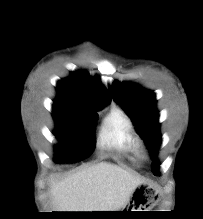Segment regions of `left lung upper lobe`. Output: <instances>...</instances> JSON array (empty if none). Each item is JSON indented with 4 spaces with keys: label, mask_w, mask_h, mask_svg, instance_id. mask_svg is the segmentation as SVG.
Listing matches in <instances>:
<instances>
[{
    "label": "left lung upper lobe",
    "mask_w": 203,
    "mask_h": 219,
    "mask_svg": "<svg viewBox=\"0 0 203 219\" xmlns=\"http://www.w3.org/2000/svg\"><path fill=\"white\" fill-rule=\"evenodd\" d=\"M114 100L130 116L139 135L144 139L152 160V171L157 175L158 164L155 160L157 148L161 143L159 134L158 111L155 94L129 82H114L110 89Z\"/></svg>",
    "instance_id": "left-lung-upper-lobe-1"
}]
</instances>
